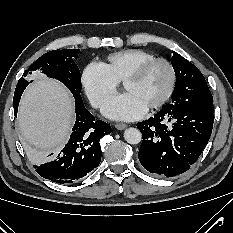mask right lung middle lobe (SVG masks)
<instances>
[{"instance_id": "1", "label": "right lung middle lobe", "mask_w": 233, "mask_h": 233, "mask_svg": "<svg viewBox=\"0 0 233 233\" xmlns=\"http://www.w3.org/2000/svg\"><path fill=\"white\" fill-rule=\"evenodd\" d=\"M80 49L53 50L38 58L23 74L18 81L15 92L22 93L29 84L28 77L32 73H42L50 78H55L64 83L76 100L82 101L81 76L75 59Z\"/></svg>"}]
</instances>
